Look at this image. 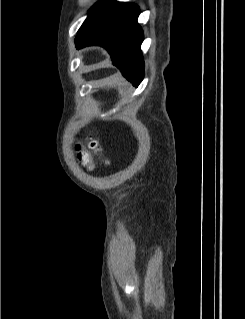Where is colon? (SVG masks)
Wrapping results in <instances>:
<instances>
[{
  "instance_id": "obj_1",
  "label": "colon",
  "mask_w": 245,
  "mask_h": 319,
  "mask_svg": "<svg viewBox=\"0 0 245 319\" xmlns=\"http://www.w3.org/2000/svg\"><path fill=\"white\" fill-rule=\"evenodd\" d=\"M76 147L79 151L78 160L86 165H91L92 155L100 152L99 146L94 140H89L83 145L77 144Z\"/></svg>"
}]
</instances>
